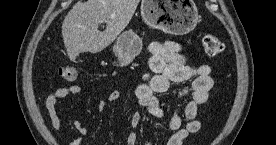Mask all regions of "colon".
<instances>
[{
  "instance_id": "5ec220e1",
  "label": "colon",
  "mask_w": 276,
  "mask_h": 145,
  "mask_svg": "<svg viewBox=\"0 0 276 145\" xmlns=\"http://www.w3.org/2000/svg\"><path fill=\"white\" fill-rule=\"evenodd\" d=\"M202 45L208 55H218L224 50L223 42L213 34H203ZM59 74L68 81H76L79 77L77 68L73 66H61Z\"/></svg>"
}]
</instances>
